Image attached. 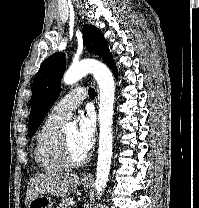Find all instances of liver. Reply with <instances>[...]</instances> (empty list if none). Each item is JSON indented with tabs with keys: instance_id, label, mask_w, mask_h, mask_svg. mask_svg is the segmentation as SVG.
<instances>
[{
	"instance_id": "obj_1",
	"label": "liver",
	"mask_w": 199,
	"mask_h": 208,
	"mask_svg": "<svg viewBox=\"0 0 199 208\" xmlns=\"http://www.w3.org/2000/svg\"><path fill=\"white\" fill-rule=\"evenodd\" d=\"M79 183L77 174L69 173H38L30 179L28 184L25 205L39 195L51 194L66 197L72 193Z\"/></svg>"
}]
</instances>
